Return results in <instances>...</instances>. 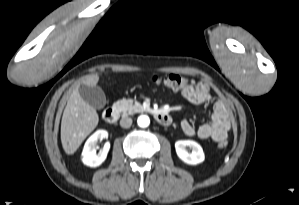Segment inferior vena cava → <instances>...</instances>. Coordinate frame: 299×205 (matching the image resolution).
Here are the masks:
<instances>
[{
	"label": "inferior vena cava",
	"mask_w": 299,
	"mask_h": 205,
	"mask_svg": "<svg viewBox=\"0 0 299 205\" xmlns=\"http://www.w3.org/2000/svg\"><path fill=\"white\" fill-rule=\"evenodd\" d=\"M132 125V119L130 117H122L120 120V126L123 128H129Z\"/></svg>",
	"instance_id": "inferior-vena-cava-1"
}]
</instances>
